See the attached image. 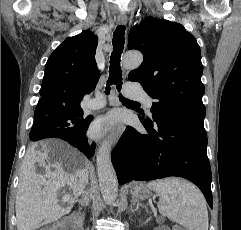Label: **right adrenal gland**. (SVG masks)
<instances>
[{"instance_id":"2a0ac1e0","label":"right adrenal gland","mask_w":241,"mask_h":230,"mask_svg":"<svg viewBox=\"0 0 241 230\" xmlns=\"http://www.w3.org/2000/svg\"><path fill=\"white\" fill-rule=\"evenodd\" d=\"M80 204H81V206H85L86 204L85 203H83L82 201H78Z\"/></svg>"}]
</instances>
